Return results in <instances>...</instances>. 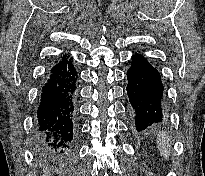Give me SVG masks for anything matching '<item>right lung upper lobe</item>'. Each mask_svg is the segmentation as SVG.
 Here are the masks:
<instances>
[{
	"mask_svg": "<svg viewBox=\"0 0 205 176\" xmlns=\"http://www.w3.org/2000/svg\"><path fill=\"white\" fill-rule=\"evenodd\" d=\"M69 60V56L63 55L60 57V59L52 66V68H55L56 66H59L61 64H65ZM50 68V69H52Z\"/></svg>",
	"mask_w": 205,
	"mask_h": 176,
	"instance_id": "cb5924a9",
	"label": "right lung upper lobe"
}]
</instances>
